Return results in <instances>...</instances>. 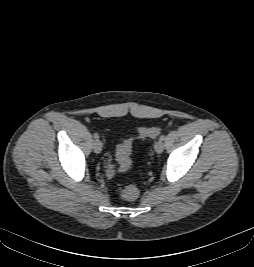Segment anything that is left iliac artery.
Wrapping results in <instances>:
<instances>
[{"label": "left iliac artery", "instance_id": "left-iliac-artery-1", "mask_svg": "<svg viewBox=\"0 0 254 267\" xmlns=\"http://www.w3.org/2000/svg\"><path fill=\"white\" fill-rule=\"evenodd\" d=\"M165 138H166L165 135H161L159 139L163 141V140H165Z\"/></svg>", "mask_w": 254, "mask_h": 267}]
</instances>
